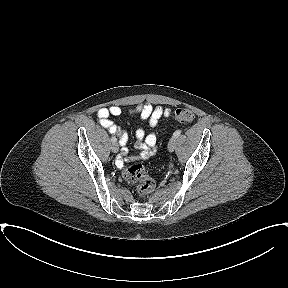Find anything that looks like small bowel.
Masks as SVG:
<instances>
[{
    "label": "small bowel",
    "instance_id": "small-bowel-1",
    "mask_svg": "<svg viewBox=\"0 0 288 288\" xmlns=\"http://www.w3.org/2000/svg\"><path fill=\"white\" fill-rule=\"evenodd\" d=\"M122 109L119 106L112 105L107 108H101L98 110L97 116L99 123L106 128L111 134L116 135L119 138L122 148V154L117 160L119 167L123 166L124 161H134L136 157L126 156L128 153L125 145L128 142V134L120 128L116 123L109 119L110 116H120ZM128 114L131 116H139L141 120L148 122L151 128H155L161 118H167L170 115L168 109H163L160 106L153 107L150 104H142L136 107L128 109ZM136 142L135 147L140 150V158L148 159L154 155L157 150V135L154 131L146 132L143 128L138 127L136 130Z\"/></svg>",
    "mask_w": 288,
    "mask_h": 288
}]
</instances>
